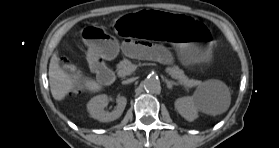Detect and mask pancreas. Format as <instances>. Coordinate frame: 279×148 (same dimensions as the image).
Segmentation results:
<instances>
[{"instance_id":"pancreas-1","label":"pancreas","mask_w":279,"mask_h":148,"mask_svg":"<svg viewBox=\"0 0 279 148\" xmlns=\"http://www.w3.org/2000/svg\"><path fill=\"white\" fill-rule=\"evenodd\" d=\"M132 63L128 60V59H124L122 60L118 66H117V70H118V76L119 77H125L127 75H130L134 72V70L132 69ZM166 72L173 78L177 79L178 82L180 84L183 85L184 81H189L191 82L193 85H199L200 81L198 80H193V79H189L185 74L184 71L181 70L177 65H173L172 67H167L166 68Z\"/></svg>"}]
</instances>
